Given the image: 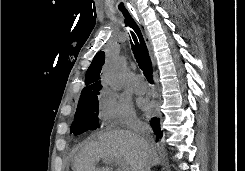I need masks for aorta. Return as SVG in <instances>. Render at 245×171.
I'll use <instances>...</instances> for the list:
<instances>
[{
	"label": "aorta",
	"mask_w": 245,
	"mask_h": 171,
	"mask_svg": "<svg viewBox=\"0 0 245 171\" xmlns=\"http://www.w3.org/2000/svg\"><path fill=\"white\" fill-rule=\"evenodd\" d=\"M128 57L121 55L110 63L104 73V83L112 90H120L127 71Z\"/></svg>",
	"instance_id": "obj_1"
}]
</instances>
